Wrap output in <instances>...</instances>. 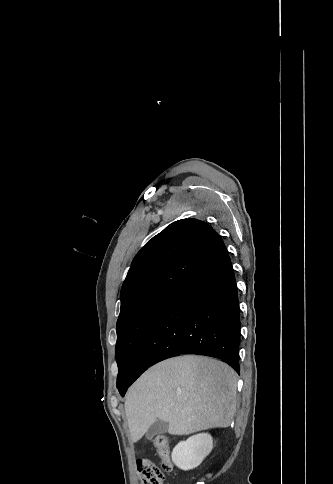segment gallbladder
I'll return each instance as SVG.
<instances>
[{"label":"gallbladder","instance_id":"obj_1","mask_svg":"<svg viewBox=\"0 0 333 484\" xmlns=\"http://www.w3.org/2000/svg\"><path fill=\"white\" fill-rule=\"evenodd\" d=\"M168 422L156 420L146 432V437L152 439L156 435H162L168 431Z\"/></svg>","mask_w":333,"mask_h":484}]
</instances>
